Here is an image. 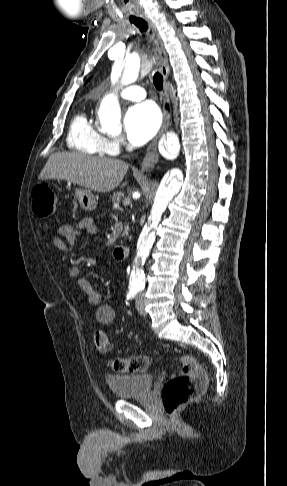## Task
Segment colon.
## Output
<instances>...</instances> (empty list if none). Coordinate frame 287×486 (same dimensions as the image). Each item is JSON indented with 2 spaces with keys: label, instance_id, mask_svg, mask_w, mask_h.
I'll return each instance as SVG.
<instances>
[{
  "label": "colon",
  "instance_id": "obj_1",
  "mask_svg": "<svg viewBox=\"0 0 287 486\" xmlns=\"http://www.w3.org/2000/svg\"><path fill=\"white\" fill-rule=\"evenodd\" d=\"M33 211L40 218L51 216L57 206L54 190L47 182L37 183L32 190ZM94 348L100 352L109 350V340L104 331L97 330L93 334ZM182 371L170 378L163 386L162 399L165 411L174 416L185 404L197 398L205 389L207 376L198 361L190 355L179 356ZM151 359L145 355L127 358H114L109 361V367L118 373L142 372L149 368Z\"/></svg>",
  "mask_w": 287,
  "mask_h": 486
}]
</instances>
